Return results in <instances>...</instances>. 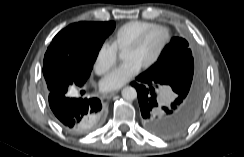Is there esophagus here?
<instances>
[{"label": "esophagus", "instance_id": "34e87169", "mask_svg": "<svg viewBox=\"0 0 244 157\" xmlns=\"http://www.w3.org/2000/svg\"><path fill=\"white\" fill-rule=\"evenodd\" d=\"M117 92H118V91H111V92H108V93L105 94V97L109 99V98L113 97Z\"/></svg>", "mask_w": 244, "mask_h": 157}]
</instances>
